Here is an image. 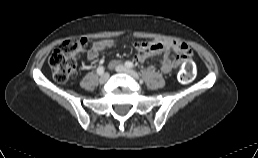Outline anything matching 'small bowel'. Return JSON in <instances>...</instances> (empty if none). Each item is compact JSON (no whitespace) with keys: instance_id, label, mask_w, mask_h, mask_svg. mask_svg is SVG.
<instances>
[{"instance_id":"small-bowel-1","label":"small bowel","mask_w":258,"mask_h":158,"mask_svg":"<svg viewBox=\"0 0 258 158\" xmlns=\"http://www.w3.org/2000/svg\"><path fill=\"white\" fill-rule=\"evenodd\" d=\"M114 46L115 41L112 39L98 41L89 49L87 59L95 61L101 51L111 49ZM133 48L135 50L134 61L137 63H142L150 57L164 54V57L160 60V70L164 74H168L174 68L181 66L191 56V49L186 43L173 39L134 42ZM172 52L176 53V56L172 57ZM116 64L117 62L113 61L110 67L113 68Z\"/></svg>"}]
</instances>
